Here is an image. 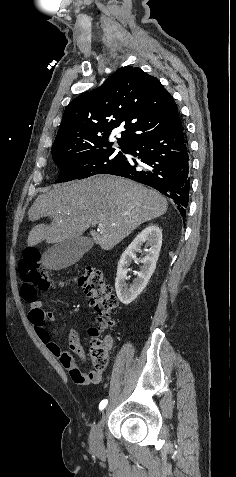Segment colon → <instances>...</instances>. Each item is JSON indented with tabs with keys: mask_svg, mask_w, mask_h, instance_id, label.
<instances>
[{
	"mask_svg": "<svg viewBox=\"0 0 236 477\" xmlns=\"http://www.w3.org/2000/svg\"><path fill=\"white\" fill-rule=\"evenodd\" d=\"M18 271L23 282L22 297L28 302L36 299L38 291L47 290L55 284V280L43 268L41 253L35 248H28L23 252ZM75 283L88 296L97 314V328L91 331L90 355L94 368L103 371L108 364V354L105 343L98 335L100 330L112 325L111 314L118 302L110 286L105 284L102 271L95 267L85 268L75 278Z\"/></svg>",
	"mask_w": 236,
	"mask_h": 477,
	"instance_id": "obj_1",
	"label": "colon"
}]
</instances>
